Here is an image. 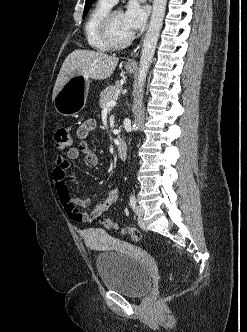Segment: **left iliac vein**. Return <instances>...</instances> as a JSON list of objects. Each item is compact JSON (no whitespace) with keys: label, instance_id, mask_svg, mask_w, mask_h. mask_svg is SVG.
Here are the masks:
<instances>
[{"label":"left iliac vein","instance_id":"4c4485c4","mask_svg":"<svg viewBox=\"0 0 247 332\" xmlns=\"http://www.w3.org/2000/svg\"><path fill=\"white\" fill-rule=\"evenodd\" d=\"M135 214L137 215L138 220H142V217L144 215V209H143V207L140 206V205H137L135 207Z\"/></svg>","mask_w":247,"mask_h":332}]
</instances>
